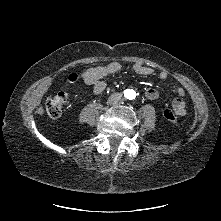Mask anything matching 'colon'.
I'll use <instances>...</instances> for the list:
<instances>
[{
  "label": "colon",
  "mask_w": 221,
  "mask_h": 221,
  "mask_svg": "<svg viewBox=\"0 0 221 221\" xmlns=\"http://www.w3.org/2000/svg\"><path fill=\"white\" fill-rule=\"evenodd\" d=\"M92 69V67H89L88 70ZM78 73L74 70H69L67 73V78L71 81H74L77 79ZM66 100V93L64 91H59L56 94L50 96L46 103L44 108L42 109V112L47 114L51 117H58L60 114V109L63 105V103ZM186 114L185 109L183 108H174L172 109H166L164 111V116L168 120H175L177 117H184Z\"/></svg>",
  "instance_id": "obj_1"
}]
</instances>
